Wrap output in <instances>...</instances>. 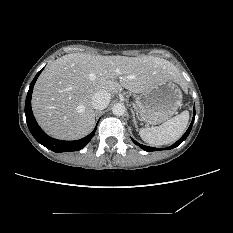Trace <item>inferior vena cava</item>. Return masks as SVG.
Here are the masks:
<instances>
[{"instance_id":"602c4592","label":"inferior vena cava","mask_w":233,"mask_h":233,"mask_svg":"<svg viewBox=\"0 0 233 233\" xmlns=\"http://www.w3.org/2000/svg\"><path fill=\"white\" fill-rule=\"evenodd\" d=\"M111 100V94L104 90L97 91L92 97V107L97 110L105 109Z\"/></svg>"}]
</instances>
